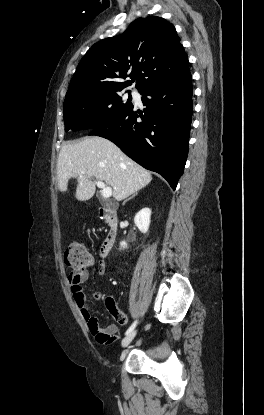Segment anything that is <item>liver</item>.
<instances>
[{
  "instance_id": "liver-1",
  "label": "liver",
  "mask_w": 264,
  "mask_h": 415,
  "mask_svg": "<svg viewBox=\"0 0 264 415\" xmlns=\"http://www.w3.org/2000/svg\"><path fill=\"white\" fill-rule=\"evenodd\" d=\"M84 171V174H80ZM71 178L77 179L75 197L86 201L95 194L92 180L104 181L111 186L115 200L122 201L146 187L151 173L125 155L111 141L94 136L64 145L58 156L57 179L61 192H66Z\"/></svg>"
}]
</instances>
